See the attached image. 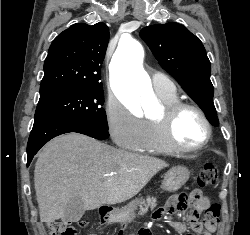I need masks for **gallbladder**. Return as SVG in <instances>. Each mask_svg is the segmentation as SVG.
<instances>
[{"label": "gallbladder", "mask_w": 250, "mask_h": 235, "mask_svg": "<svg viewBox=\"0 0 250 235\" xmlns=\"http://www.w3.org/2000/svg\"><path fill=\"white\" fill-rule=\"evenodd\" d=\"M85 212L83 201L76 197L71 199L65 206L62 221L64 223L78 222Z\"/></svg>", "instance_id": "1"}]
</instances>
